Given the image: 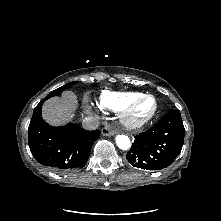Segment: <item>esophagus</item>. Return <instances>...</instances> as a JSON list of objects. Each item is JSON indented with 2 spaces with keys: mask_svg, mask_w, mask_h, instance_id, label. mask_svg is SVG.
Wrapping results in <instances>:
<instances>
[{
  "mask_svg": "<svg viewBox=\"0 0 221 221\" xmlns=\"http://www.w3.org/2000/svg\"><path fill=\"white\" fill-rule=\"evenodd\" d=\"M101 133L103 136H112L116 133V131L113 128L107 126L102 128Z\"/></svg>",
  "mask_w": 221,
  "mask_h": 221,
  "instance_id": "1",
  "label": "esophagus"
}]
</instances>
